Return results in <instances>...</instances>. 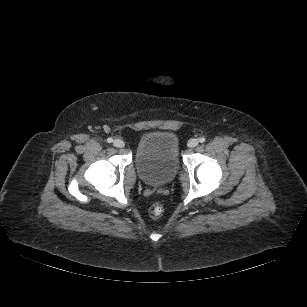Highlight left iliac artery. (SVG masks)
<instances>
[{"instance_id":"1","label":"left iliac artery","mask_w":307,"mask_h":307,"mask_svg":"<svg viewBox=\"0 0 307 307\" xmlns=\"http://www.w3.org/2000/svg\"><path fill=\"white\" fill-rule=\"evenodd\" d=\"M199 142H200V143H204V142H205V138H204V137H200V138H199Z\"/></svg>"}]
</instances>
